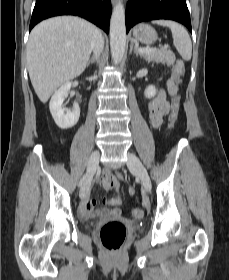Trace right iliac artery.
<instances>
[{
  "label": "right iliac artery",
  "instance_id": "right-iliac-artery-1",
  "mask_svg": "<svg viewBox=\"0 0 229 280\" xmlns=\"http://www.w3.org/2000/svg\"><path fill=\"white\" fill-rule=\"evenodd\" d=\"M85 177H86V175H84L83 176V178L80 180V182H79V186H81L82 185V183L84 182V180H85Z\"/></svg>",
  "mask_w": 229,
  "mask_h": 280
}]
</instances>
